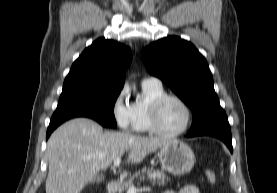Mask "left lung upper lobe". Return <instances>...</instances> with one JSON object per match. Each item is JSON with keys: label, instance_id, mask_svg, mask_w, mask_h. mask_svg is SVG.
<instances>
[{"label": "left lung upper lobe", "instance_id": "left-lung-upper-lobe-1", "mask_svg": "<svg viewBox=\"0 0 277 193\" xmlns=\"http://www.w3.org/2000/svg\"><path fill=\"white\" fill-rule=\"evenodd\" d=\"M148 72L167 84L192 110L191 130L226 116L213 87L205 58L180 37L158 40L142 51Z\"/></svg>", "mask_w": 277, "mask_h": 193}]
</instances>
